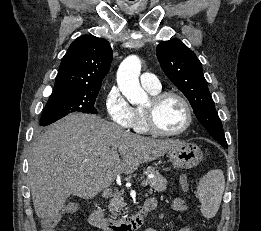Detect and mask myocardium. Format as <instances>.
Returning a JSON list of instances; mask_svg holds the SVG:
<instances>
[{
	"label": "myocardium",
	"instance_id": "f54148a6",
	"mask_svg": "<svg viewBox=\"0 0 261 231\" xmlns=\"http://www.w3.org/2000/svg\"><path fill=\"white\" fill-rule=\"evenodd\" d=\"M171 97L177 98L182 103L186 113V121L183 127L179 130L169 132L162 130L158 126L156 121V112L161 103ZM142 109L147 128L151 133L160 136L171 137L181 135L190 128L193 121V114L190 103L183 95L174 91L159 92L158 94L152 95L149 99V104Z\"/></svg>",
	"mask_w": 261,
	"mask_h": 231
}]
</instances>
